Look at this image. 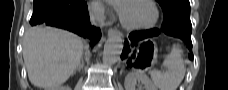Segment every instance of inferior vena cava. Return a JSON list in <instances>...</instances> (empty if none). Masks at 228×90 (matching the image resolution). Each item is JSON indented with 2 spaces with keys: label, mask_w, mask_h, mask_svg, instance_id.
I'll list each match as a JSON object with an SVG mask.
<instances>
[{
  "label": "inferior vena cava",
  "mask_w": 228,
  "mask_h": 90,
  "mask_svg": "<svg viewBox=\"0 0 228 90\" xmlns=\"http://www.w3.org/2000/svg\"><path fill=\"white\" fill-rule=\"evenodd\" d=\"M90 22L93 25L103 27L104 25V10L101 6L99 5H93L90 8Z\"/></svg>",
  "instance_id": "obj_1"
}]
</instances>
